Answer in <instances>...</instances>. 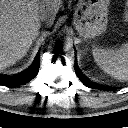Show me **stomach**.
Here are the masks:
<instances>
[{
	"label": "stomach",
	"mask_w": 128,
	"mask_h": 128,
	"mask_svg": "<svg viewBox=\"0 0 128 128\" xmlns=\"http://www.w3.org/2000/svg\"><path fill=\"white\" fill-rule=\"evenodd\" d=\"M109 0H79L74 25L83 38H94L106 31Z\"/></svg>",
	"instance_id": "stomach-1"
}]
</instances>
